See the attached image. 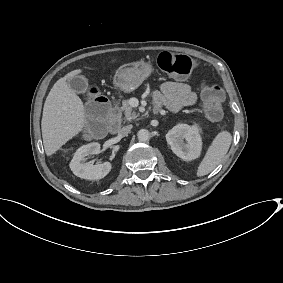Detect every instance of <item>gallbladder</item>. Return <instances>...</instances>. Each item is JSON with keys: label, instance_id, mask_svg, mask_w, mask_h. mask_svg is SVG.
Segmentation results:
<instances>
[{"label": "gallbladder", "instance_id": "bac80fb5", "mask_svg": "<svg viewBox=\"0 0 283 283\" xmlns=\"http://www.w3.org/2000/svg\"><path fill=\"white\" fill-rule=\"evenodd\" d=\"M69 87L77 93H83L87 90L88 80L84 76H74L68 80Z\"/></svg>", "mask_w": 283, "mask_h": 283}]
</instances>
